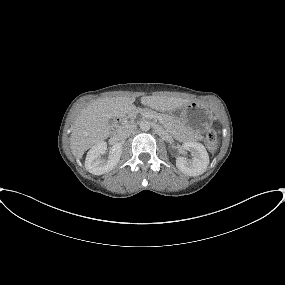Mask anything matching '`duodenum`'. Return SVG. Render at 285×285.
Returning a JSON list of instances; mask_svg holds the SVG:
<instances>
[{
	"mask_svg": "<svg viewBox=\"0 0 285 285\" xmlns=\"http://www.w3.org/2000/svg\"><path fill=\"white\" fill-rule=\"evenodd\" d=\"M127 121L126 114H118L115 119L114 132L116 136H119L124 130Z\"/></svg>",
	"mask_w": 285,
	"mask_h": 285,
	"instance_id": "duodenum-1",
	"label": "duodenum"
}]
</instances>
